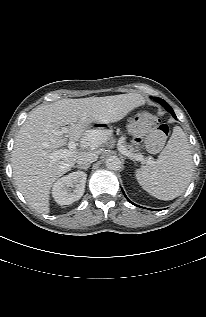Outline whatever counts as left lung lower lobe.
<instances>
[{"instance_id": "1", "label": "left lung lower lobe", "mask_w": 206, "mask_h": 317, "mask_svg": "<svg viewBox=\"0 0 206 317\" xmlns=\"http://www.w3.org/2000/svg\"><path fill=\"white\" fill-rule=\"evenodd\" d=\"M172 115H173V117L176 119V116H175L174 112L172 113ZM130 203H132V202L130 201ZM132 204H134V203H132ZM134 205H135V204H134Z\"/></svg>"}]
</instances>
